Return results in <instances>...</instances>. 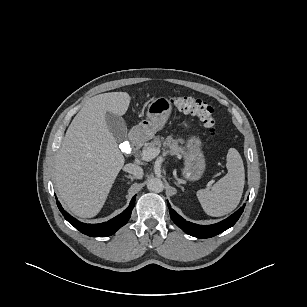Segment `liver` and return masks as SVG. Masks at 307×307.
Returning a JSON list of instances; mask_svg holds the SVG:
<instances>
[{
    "label": "liver",
    "instance_id": "liver-1",
    "mask_svg": "<svg viewBox=\"0 0 307 307\" xmlns=\"http://www.w3.org/2000/svg\"><path fill=\"white\" fill-rule=\"evenodd\" d=\"M130 100L126 92L96 95L66 131L56 155L55 184L60 199L76 216L91 218L100 212L125 163L105 115H124Z\"/></svg>",
    "mask_w": 307,
    "mask_h": 307
}]
</instances>
